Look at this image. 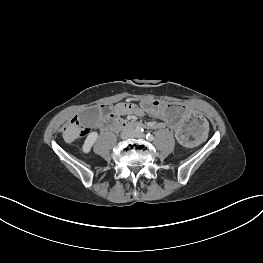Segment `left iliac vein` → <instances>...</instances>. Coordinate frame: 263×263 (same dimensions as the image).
I'll return each instance as SVG.
<instances>
[{"label":"left iliac vein","instance_id":"1","mask_svg":"<svg viewBox=\"0 0 263 263\" xmlns=\"http://www.w3.org/2000/svg\"><path fill=\"white\" fill-rule=\"evenodd\" d=\"M138 136L141 137V138H144V137H145V135L142 134V133L138 134Z\"/></svg>","mask_w":263,"mask_h":263}]
</instances>
